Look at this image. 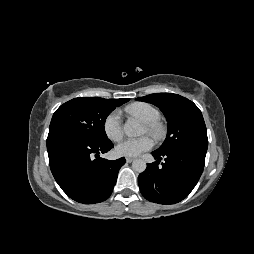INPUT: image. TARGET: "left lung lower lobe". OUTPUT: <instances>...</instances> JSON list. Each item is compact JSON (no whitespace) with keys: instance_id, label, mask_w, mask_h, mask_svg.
I'll use <instances>...</instances> for the list:
<instances>
[{"instance_id":"1","label":"left lung lower lobe","mask_w":254,"mask_h":254,"mask_svg":"<svg viewBox=\"0 0 254 254\" xmlns=\"http://www.w3.org/2000/svg\"><path fill=\"white\" fill-rule=\"evenodd\" d=\"M205 149L185 147L167 153L152 152L156 162L138 177L142 195L159 204H175L182 201L196 186L204 169ZM164 158L161 166L158 164Z\"/></svg>"}]
</instances>
